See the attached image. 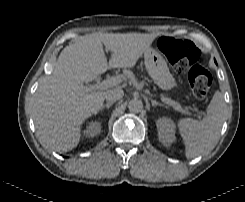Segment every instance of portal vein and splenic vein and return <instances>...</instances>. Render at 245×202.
I'll return each mask as SVG.
<instances>
[{
  "mask_svg": "<svg viewBox=\"0 0 245 202\" xmlns=\"http://www.w3.org/2000/svg\"><path fill=\"white\" fill-rule=\"evenodd\" d=\"M122 81H123V79H122L121 76H114V77H111L109 79H106V80H103L101 82H98L95 85L81 86V88H82V90H84L86 92L95 91V90H106L108 88H111V87H114V86L120 84ZM161 100L165 104H168V105L174 107L176 110H178L180 112L187 113L186 111H184L180 107H177L176 103L173 100H171L169 98H165V97H162Z\"/></svg>",
  "mask_w": 245,
  "mask_h": 202,
  "instance_id": "portal-vein-and-splenic-vein-1",
  "label": "portal vein and splenic vein"
}]
</instances>
